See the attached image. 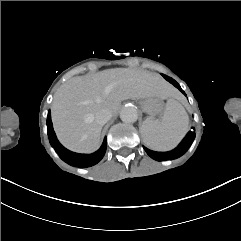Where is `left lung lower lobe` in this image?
<instances>
[{
	"instance_id": "0a47b994",
	"label": "left lung lower lobe",
	"mask_w": 241,
	"mask_h": 241,
	"mask_svg": "<svg viewBox=\"0 0 241 241\" xmlns=\"http://www.w3.org/2000/svg\"><path fill=\"white\" fill-rule=\"evenodd\" d=\"M168 82H170L171 84H173L176 88H178L182 93L183 90L181 89V87L179 86V84L172 79L171 77H168L166 75H162ZM185 94V93H184ZM195 138V133L193 131H189L188 134L186 135V137L182 140V142L178 145L177 148L168 151V152H157V151H152L146 147H144L146 153L153 159L157 160V161H164V160H171V159H175L177 157H180L181 155H183L189 148V146L191 145L193 139Z\"/></svg>"
}]
</instances>
